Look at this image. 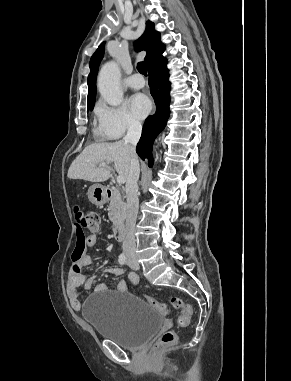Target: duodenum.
Masks as SVG:
<instances>
[{"label": "duodenum", "mask_w": 291, "mask_h": 381, "mask_svg": "<svg viewBox=\"0 0 291 381\" xmlns=\"http://www.w3.org/2000/svg\"><path fill=\"white\" fill-rule=\"evenodd\" d=\"M104 194L106 197H110L113 194V191H112V189L107 188L104 190ZM125 235H126L125 225L123 223H119V224L115 225V227H114L115 239L117 241L121 242L125 239Z\"/></svg>", "instance_id": "410a0bca"}]
</instances>
